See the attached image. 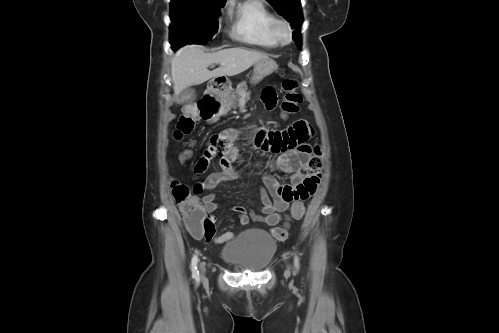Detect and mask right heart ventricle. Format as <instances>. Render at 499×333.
Returning <instances> with one entry per match:
<instances>
[{
	"instance_id": "e07e8e85",
	"label": "right heart ventricle",
	"mask_w": 499,
	"mask_h": 333,
	"mask_svg": "<svg viewBox=\"0 0 499 333\" xmlns=\"http://www.w3.org/2000/svg\"><path fill=\"white\" fill-rule=\"evenodd\" d=\"M276 18L264 0H243L229 7L232 35L238 41L261 48H273L278 42L271 24Z\"/></svg>"
}]
</instances>
